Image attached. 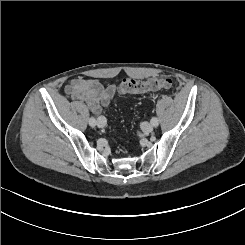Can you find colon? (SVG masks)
Segmentation results:
<instances>
[{
  "label": "colon",
  "instance_id": "colon-1",
  "mask_svg": "<svg viewBox=\"0 0 245 245\" xmlns=\"http://www.w3.org/2000/svg\"><path fill=\"white\" fill-rule=\"evenodd\" d=\"M172 84V80L166 75L152 77L146 80L125 78L120 82L118 91L126 95L143 94L168 89Z\"/></svg>",
  "mask_w": 245,
  "mask_h": 245
}]
</instances>
